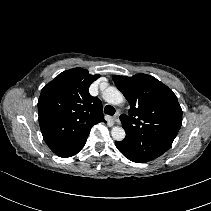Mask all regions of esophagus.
<instances>
[{
  "instance_id": "1",
  "label": "esophagus",
  "mask_w": 211,
  "mask_h": 211,
  "mask_svg": "<svg viewBox=\"0 0 211 211\" xmlns=\"http://www.w3.org/2000/svg\"><path fill=\"white\" fill-rule=\"evenodd\" d=\"M119 116H120V113L118 112V113L113 117L114 122H116V123H119V122H120Z\"/></svg>"
}]
</instances>
